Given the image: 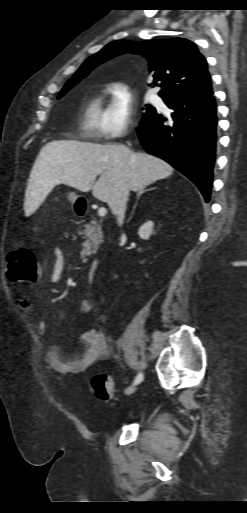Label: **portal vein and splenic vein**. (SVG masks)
<instances>
[{"label":"portal vein and splenic vein","mask_w":247,"mask_h":513,"mask_svg":"<svg viewBox=\"0 0 247 513\" xmlns=\"http://www.w3.org/2000/svg\"><path fill=\"white\" fill-rule=\"evenodd\" d=\"M106 213H107V210L105 208H100L98 210V215L101 216V217L105 216Z\"/></svg>","instance_id":"obj_1"}]
</instances>
